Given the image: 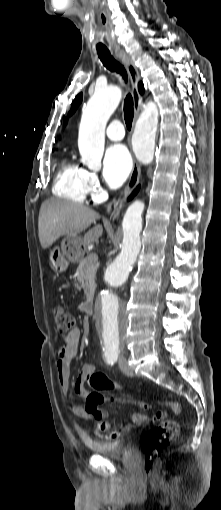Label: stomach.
Segmentation results:
<instances>
[{
	"mask_svg": "<svg viewBox=\"0 0 221 510\" xmlns=\"http://www.w3.org/2000/svg\"><path fill=\"white\" fill-rule=\"evenodd\" d=\"M83 242L80 237H66L61 245L50 251L49 264L56 272H64L71 261H79L83 255Z\"/></svg>",
	"mask_w": 221,
	"mask_h": 510,
	"instance_id": "1",
	"label": "stomach"
}]
</instances>
